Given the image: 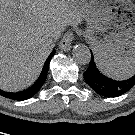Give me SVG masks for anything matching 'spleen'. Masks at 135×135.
Here are the masks:
<instances>
[{
    "instance_id": "1",
    "label": "spleen",
    "mask_w": 135,
    "mask_h": 135,
    "mask_svg": "<svg viewBox=\"0 0 135 135\" xmlns=\"http://www.w3.org/2000/svg\"><path fill=\"white\" fill-rule=\"evenodd\" d=\"M96 61L105 74L116 79H127L135 73V55L132 54L108 61L96 57Z\"/></svg>"
}]
</instances>
